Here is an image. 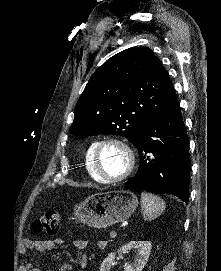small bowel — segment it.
Returning <instances> with one entry per match:
<instances>
[{"label": "small bowel", "instance_id": "1", "mask_svg": "<svg viewBox=\"0 0 221 271\" xmlns=\"http://www.w3.org/2000/svg\"><path fill=\"white\" fill-rule=\"evenodd\" d=\"M61 238L56 239H26L24 240L22 244V250L23 251H33L36 250L38 252L44 253V252H50L52 251L56 245L62 244ZM75 248L81 252L85 253L88 243L84 239H77L74 242ZM81 267L84 269L87 266V259L85 254L83 255L81 261H80ZM22 271H25V269H22ZM32 271H39L38 269L34 268ZM59 271H74V268L71 264H63Z\"/></svg>", "mask_w": 221, "mask_h": 271}]
</instances>
